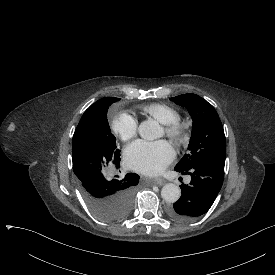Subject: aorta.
I'll return each mask as SVG.
<instances>
[{
    "instance_id": "762f6f07",
    "label": "aorta",
    "mask_w": 275,
    "mask_h": 275,
    "mask_svg": "<svg viewBox=\"0 0 275 275\" xmlns=\"http://www.w3.org/2000/svg\"><path fill=\"white\" fill-rule=\"evenodd\" d=\"M140 136L144 140H155L163 136V130L154 119H148L141 123L139 127ZM162 198L169 202H176L181 196L180 188L174 183H166L161 190Z\"/></svg>"
}]
</instances>
